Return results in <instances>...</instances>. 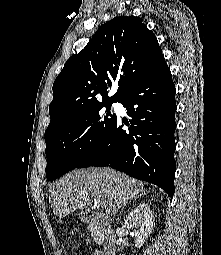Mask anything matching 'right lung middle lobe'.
Listing matches in <instances>:
<instances>
[{"instance_id": "dd1d6c3e", "label": "right lung middle lobe", "mask_w": 221, "mask_h": 255, "mask_svg": "<svg viewBox=\"0 0 221 255\" xmlns=\"http://www.w3.org/2000/svg\"><path fill=\"white\" fill-rule=\"evenodd\" d=\"M113 102H100L74 113L45 132L47 180L75 169L95 148L117 119L110 111Z\"/></svg>"}]
</instances>
